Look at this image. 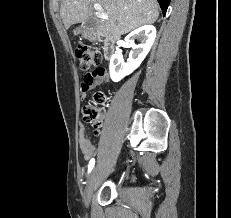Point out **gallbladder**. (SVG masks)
<instances>
[{"label":"gallbladder","instance_id":"gallbladder-1","mask_svg":"<svg viewBox=\"0 0 231 218\" xmlns=\"http://www.w3.org/2000/svg\"><path fill=\"white\" fill-rule=\"evenodd\" d=\"M95 25V21L92 17H89L85 22L82 23L80 27L74 29L73 34L77 35L82 32L83 29H91Z\"/></svg>","mask_w":231,"mask_h":218}]
</instances>
